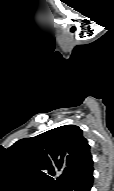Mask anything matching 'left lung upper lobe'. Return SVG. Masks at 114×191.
I'll return each mask as SVG.
<instances>
[{"label": "left lung upper lobe", "mask_w": 114, "mask_h": 191, "mask_svg": "<svg viewBox=\"0 0 114 191\" xmlns=\"http://www.w3.org/2000/svg\"><path fill=\"white\" fill-rule=\"evenodd\" d=\"M8 149L20 166L46 179L58 190L92 157L82 130L75 125L57 127L32 138L21 139Z\"/></svg>", "instance_id": "5c2ea615"}]
</instances>
